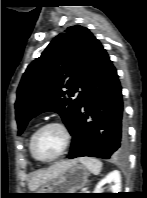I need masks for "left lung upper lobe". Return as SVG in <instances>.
I'll use <instances>...</instances> for the list:
<instances>
[{
  "instance_id": "1",
  "label": "left lung upper lobe",
  "mask_w": 147,
  "mask_h": 198,
  "mask_svg": "<svg viewBox=\"0 0 147 198\" xmlns=\"http://www.w3.org/2000/svg\"><path fill=\"white\" fill-rule=\"evenodd\" d=\"M95 40L86 27H68L28 66L15 103L18 135L44 111L59 113L72 133L83 102ZM63 87L68 90L63 91ZM79 88L82 91L75 98Z\"/></svg>"
}]
</instances>
